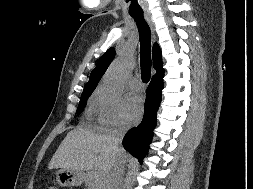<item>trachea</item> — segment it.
Instances as JSON below:
<instances>
[{"label":"trachea","instance_id":"3493384b","mask_svg":"<svg viewBox=\"0 0 253 189\" xmlns=\"http://www.w3.org/2000/svg\"><path fill=\"white\" fill-rule=\"evenodd\" d=\"M135 20L140 35V62L141 78L144 83L150 80L151 76V32L143 14H130Z\"/></svg>","mask_w":253,"mask_h":189}]
</instances>
